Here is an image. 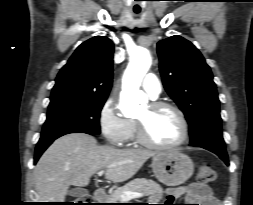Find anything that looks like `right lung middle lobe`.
I'll use <instances>...</instances> for the list:
<instances>
[{
  "label": "right lung middle lobe",
  "instance_id": "1",
  "mask_svg": "<svg viewBox=\"0 0 253 205\" xmlns=\"http://www.w3.org/2000/svg\"><path fill=\"white\" fill-rule=\"evenodd\" d=\"M105 97H64L51 100L41 136L64 131L100 134V111Z\"/></svg>",
  "mask_w": 253,
  "mask_h": 205
}]
</instances>
